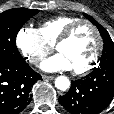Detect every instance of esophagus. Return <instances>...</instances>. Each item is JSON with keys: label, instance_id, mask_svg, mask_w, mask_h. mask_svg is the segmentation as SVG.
Wrapping results in <instances>:
<instances>
[{"label": "esophagus", "instance_id": "1", "mask_svg": "<svg viewBox=\"0 0 114 114\" xmlns=\"http://www.w3.org/2000/svg\"><path fill=\"white\" fill-rule=\"evenodd\" d=\"M42 79L43 80H53L54 79V76H50V75H42Z\"/></svg>", "mask_w": 114, "mask_h": 114}]
</instances>
